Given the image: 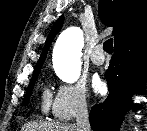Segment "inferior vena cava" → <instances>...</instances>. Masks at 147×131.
Wrapping results in <instances>:
<instances>
[{"instance_id": "inferior-vena-cava-1", "label": "inferior vena cava", "mask_w": 147, "mask_h": 131, "mask_svg": "<svg viewBox=\"0 0 147 131\" xmlns=\"http://www.w3.org/2000/svg\"><path fill=\"white\" fill-rule=\"evenodd\" d=\"M76 125L78 131H91L86 102H80L76 109Z\"/></svg>"}]
</instances>
